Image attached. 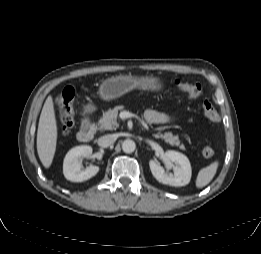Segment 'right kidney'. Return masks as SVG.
Returning <instances> with one entry per match:
<instances>
[{
  "label": "right kidney",
  "instance_id": "obj_1",
  "mask_svg": "<svg viewBox=\"0 0 261 254\" xmlns=\"http://www.w3.org/2000/svg\"><path fill=\"white\" fill-rule=\"evenodd\" d=\"M92 154V147L87 145L76 146L72 148L65 156L63 162V173L67 180L72 182H82L95 176L98 166H89L83 169L82 158L89 157Z\"/></svg>",
  "mask_w": 261,
  "mask_h": 254
}]
</instances>
